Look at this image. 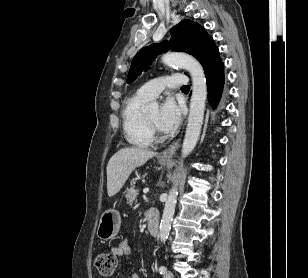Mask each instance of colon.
<instances>
[{"label":"colon","instance_id":"1","mask_svg":"<svg viewBox=\"0 0 308 278\" xmlns=\"http://www.w3.org/2000/svg\"><path fill=\"white\" fill-rule=\"evenodd\" d=\"M94 263L100 274L109 276L117 267V256L112 252H99L94 258Z\"/></svg>","mask_w":308,"mask_h":278}]
</instances>
